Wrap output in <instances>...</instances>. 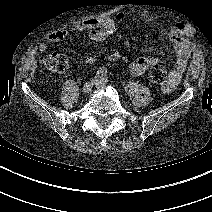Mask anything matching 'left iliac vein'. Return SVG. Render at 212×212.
<instances>
[{
	"instance_id": "1",
	"label": "left iliac vein",
	"mask_w": 212,
	"mask_h": 212,
	"mask_svg": "<svg viewBox=\"0 0 212 212\" xmlns=\"http://www.w3.org/2000/svg\"><path fill=\"white\" fill-rule=\"evenodd\" d=\"M95 85L98 89H103L106 87V83L103 81V79H98Z\"/></svg>"
}]
</instances>
